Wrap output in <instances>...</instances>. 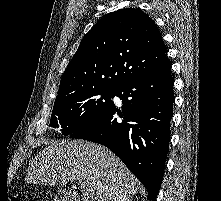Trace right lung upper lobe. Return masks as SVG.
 Instances as JSON below:
<instances>
[{
    "instance_id": "cb5924a9",
    "label": "right lung upper lobe",
    "mask_w": 221,
    "mask_h": 201,
    "mask_svg": "<svg viewBox=\"0 0 221 201\" xmlns=\"http://www.w3.org/2000/svg\"><path fill=\"white\" fill-rule=\"evenodd\" d=\"M166 60L160 31L142 10L109 13L82 39L61 78L56 99L93 88L115 90Z\"/></svg>"
}]
</instances>
